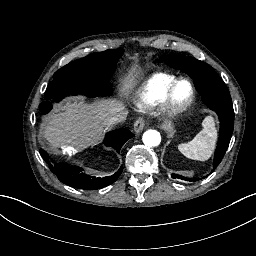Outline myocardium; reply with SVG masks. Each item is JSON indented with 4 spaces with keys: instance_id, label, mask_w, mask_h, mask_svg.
Returning a JSON list of instances; mask_svg holds the SVG:
<instances>
[{
    "instance_id": "myocardium-1",
    "label": "myocardium",
    "mask_w": 256,
    "mask_h": 256,
    "mask_svg": "<svg viewBox=\"0 0 256 256\" xmlns=\"http://www.w3.org/2000/svg\"><path fill=\"white\" fill-rule=\"evenodd\" d=\"M182 83H186L189 86L190 97L185 103L179 105L175 101V95L178 87ZM194 100L195 90L192 83L188 79H179L172 85V87L160 103L153 104L148 101L151 105V108L149 110L155 109L159 114L163 115L166 120L171 121L175 119L178 115L187 111L193 105Z\"/></svg>"
}]
</instances>
